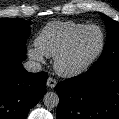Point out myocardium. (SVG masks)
<instances>
[{
	"label": "myocardium",
	"mask_w": 119,
	"mask_h": 119,
	"mask_svg": "<svg viewBox=\"0 0 119 119\" xmlns=\"http://www.w3.org/2000/svg\"><path fill=\"white\" fill-rule=\"evenodd\" d=\"M92 28L98 29L100 32L101 41H100L99 48L84 63L76 65V66H68L66 64V59H67L68 55L70 54V52L72 51L76 41L84 32H86L87 30L92 29ZM104 47H105V33H104L103 29L96 24L85 25L84 27L79 29L76 33H74V35L70 38V40L65 45V47L56 55L55 62H54L55 70L60 75L65 76V77L78 76V75L84 73L85 71H87L96 62V60L102 54Z\"/></svg>",
	"instance_id": "myocardium-1"
}]
</instances>
